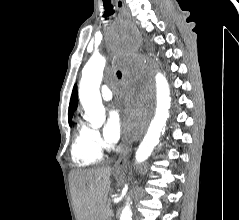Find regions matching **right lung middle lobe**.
<instances>
[{"label": "right lung middle lobe", "mask_w": 239, "mask_h": 220, "mask_svg": "<svg viewBox=\"0 0 239 220\" xmlns=\"http://www.w3.org/2000/svg\"><path fill=\"white\" fill-rule=\"evenodd\" d=\"M71 120H72V119L70 118V119H69V123H71Z\"/></svg>", "instance_id": "dd1d6c3e"}]
</instances>
